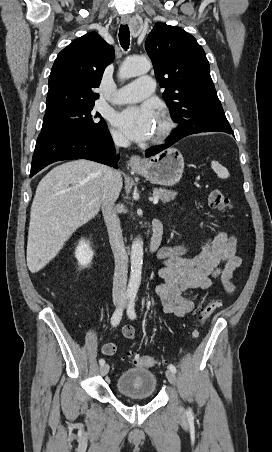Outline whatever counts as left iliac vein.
Masks as SVG:
<instances>
[{
    "label": "left iliac vein",
    "mask_w": 272,
    "mask_h": 452,
    "mask_svg": "<svg viewBox=\"0 0 272 452\" xmlns=\"http://www.w3.org/2000/svg\"><path fill=\"white\" fill-rule=\"evenodd\" d=\"M166 378L168 379V381L173 385L176 386L177 380H176V375L173 371H171L170 369H167L166 372Z\"/></svg>",
    "instance_id": "obj_1"
}]
</instances>
